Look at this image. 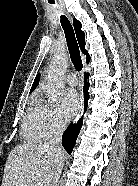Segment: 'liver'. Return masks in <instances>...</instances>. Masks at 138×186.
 <instances>
[{
    "label": "liver",
    "mask_w": 138,
    "mask_h": 186,
    "mask_svg": "<svg viewBox=\"0 0 138 186\" xmlns=\"http://www.w3.org/2000/svg\"><path fill=\"white\" fill-rule=\"evenodd\" d=\"M64 150L43 142H28L10 152L4 168L1 186H34V181L46 179Z\"/></svg>",
    "instance_id": "1"
}]
</instances>
